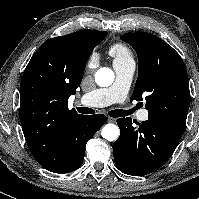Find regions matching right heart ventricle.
<instances>
[{
	"mask_svg": "<svg viewBox=\"0 0 199 199\" xmlns=\"http://www.w3.org/2000/svg\"><path fill=\"white\" fill-rule=\"evenodd\" d=\"M109 54L114 57V62L132 60L129 48L122 43L112 45L109 49Z\"/></svg>",
	"mask_w": 199,
	"mask_h": 199,
	"instance_id": "e07e8e85",
	"label": "right heart ventricle"
}]
</instances>
